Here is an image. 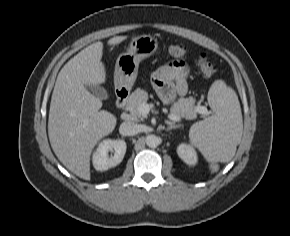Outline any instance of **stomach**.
<instances>
[{
	"mask_svg": "<svg viewBox=\"0 0 290 236\" xmlns=\"http://www.w3.org/2000/svg\"><path fill=\"white\" fill-rule=\"evenodd\" d=\"M158 49L157 39L150 35H140L132 39L127 52L118 56L114 84L116 88L130 89L137 77L140 61L153 55Z\"/></svg>",
	"mask_w": 290,
	"mask_h": 236,
	"instance_id": "obj_1",
	"label": "stomach"
}]
</instances>
